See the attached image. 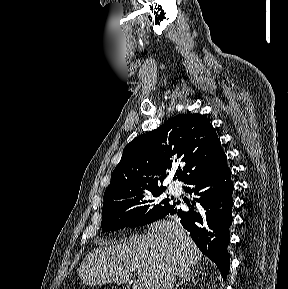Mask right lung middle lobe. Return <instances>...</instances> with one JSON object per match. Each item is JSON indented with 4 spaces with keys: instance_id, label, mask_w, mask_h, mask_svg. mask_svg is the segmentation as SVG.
<instances>
[{
    "instance_id": "dd1d6c3e",
    "label": "right lung middle lobe",
    "mask_w": 288,
    "mask_h": 289,
    "mask_svg": "<svg viewBox=\"0 0 288 289\" xmlns=\"http://www.w3.org/2000/svg\"><path fill=\"white\" fill-rule=\"evenodd\" d=\"M166 187H150L104 197L102 232L137 227L163 218L174 207L162 194Z\"/></svg>"
}]
</instances>
